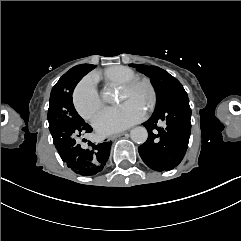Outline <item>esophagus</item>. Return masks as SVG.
I'll list each match as a JSON object with an SVG mask.
<instances>
[{
	"instance_id": "34e87169",
	"label": "esophagus",
	"mask_w": 241,
	"mask_h": 241,
	"mask_svg": "<svg viewBox=\"0 0 241 241\" xmlns=\"http://www.w3.org/2000/svg\"><path fill=\"white\" fill-rule=\"evenodd\" d=\"M123 133H117L108 137V140H115L116 138L122 136Z\"/></svg>"
}]
</instances>
